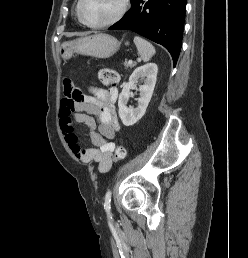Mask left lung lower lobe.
Instances as JSON below:
<instances>
[{"label": "left lung lower lobe", "mask_w": 248, "mask_h": 258, "mask_svg": "<svg viewBox=\"0 0 248 258\" xmlns=\"http://www.w3.org/2000/svg\"><path fill=\"white\" fill-rule=\"evenodd\" d=\"M186 0H131V9L109 30H132L164 46L176 65L182 43Z\"/></svg>", "instance_id": "1"}]
</instances>
